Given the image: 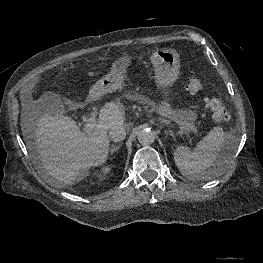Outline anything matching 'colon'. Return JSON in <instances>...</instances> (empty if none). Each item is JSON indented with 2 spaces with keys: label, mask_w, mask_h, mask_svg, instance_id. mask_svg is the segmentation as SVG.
<instances>
[{
  "label": "colon",
  "mask_w": 263,
  "mask_h": 263,
  "mask_svg": "<svg viewBox=\"0 0 263 263\" xmlns=\"http://www.w3.org/2000/svg\"><path fill=\"white\" fill-rule=\"evenodd\" d=\"M187 89L192 95L198 94L202 85L200 80L195 76H190L187 84ZM204 104L211 110L212 117L216 122H225L229 118L228 111L226 110L222 101L217 97H204Z\"/></svg>",
  "instance_id": "5ec220e1"
}]
</instances>
